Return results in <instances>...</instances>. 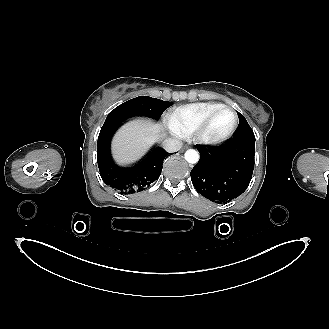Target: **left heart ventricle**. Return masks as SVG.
I'll use <instances>...</instances> for the list:
<instances>
[{"instance_id":"left-heart-ventricle-1","label":"left heart ventricle","mask_w":329,"mask_h":329,"mask_svg":"<svg viewBox=\"0 0 329 329\" xmlns=\"http://www.w3.org/2000/svg\"><path fill=\"white\" fill-rule=\"evenodd\" d=\"M234 123V114L231 110L218 113L209 125L206 134L210 137H220L230 131Z\"/></svg>"}]
</instances>
